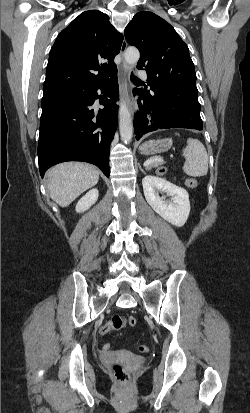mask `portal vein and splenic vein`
Instances as JSON below:
<instances>
[{
	"label": "portal vein and splenic vein",
	"mask_w": 250,
	"mask_h": 413,
	"mask_svg": "<svg viewBox=\"0 0 250 413\" xmlns=\"http://www.w3.org/2000/svg\"><path fill=\"white\" fill-rule=\"evenodd\" d=\"M153 161H154V162H161V161H162V158H156V159H154Z\"/></svg>",
	"instance_id": "portal-vein-and-splenic-vein-1"
}]
</instances>
